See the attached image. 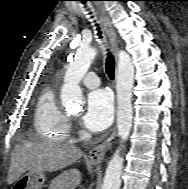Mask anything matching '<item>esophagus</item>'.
Instances as JSON below:
<instances>
[{
    "label": "esophagus",
    "mask_w": 188,
    "mask_h": 189,
    "mask_svg": "<svg viewBox=\"0 0 188 189\" xmlns=\"http://www.w3.org/2000/svg\"><path fill=\"white\" fill-rule=\"evenodd\" d=\"M96 7H97V10L100 14V18H101V20L104 24L105 31H106L109 39H110V44H111L112 49H113L114 54H115L116 73H117V65H118L117 46H118V42H117L116 34H115V31L112 27L111 21L106 14V11H105L103 5L100 4V3H97ZM115 135H116V132L113 131V133L102 144L94 147L90 151L89 160H90L91 163L99 164L104 160L107 151L112 147V143H113V140L115 138Z\"/></svg>",
    "instance_id": "obj_1"
}]
</instances>
